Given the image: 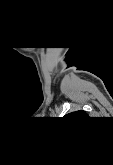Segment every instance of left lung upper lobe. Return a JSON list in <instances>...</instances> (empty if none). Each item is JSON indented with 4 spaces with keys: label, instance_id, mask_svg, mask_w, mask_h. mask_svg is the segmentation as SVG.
<instances>
[{
    "label": "left lung upper lobe",
    "instance_id": "1",
    "mask_svg": "<svg viewBox=\"0 0 113 165\" xmlns=\"http://www.w3.org/2000/svg\"><path fill=\"white\" fill-rule=\"evenodd\" d=\"M86 115V113L84 112V111H77V112H73V113H71V114H69V115H73V116H76V115Z\"/></svg>",
    "mask_w": 113,
    "mask_h": 165
}]
</instances>
